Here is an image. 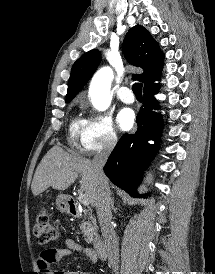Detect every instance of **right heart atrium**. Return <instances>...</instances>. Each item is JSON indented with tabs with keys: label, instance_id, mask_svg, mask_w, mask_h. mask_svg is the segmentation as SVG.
<instances>
[{
	"label": "right heart atrium",
	"instance_id": "obj_1",
	"mask_svg": "<svg viewBox=\"0 0 215 274\" xmlns=\"http://www.w3.org/2000/svg\"><path fill=\"white\" fill-rule=\"evenodd\" d=\"M118 142V136L110 116L92 112L84 120L77 150L82 154H93L112 150Z\"/></svg>",
	"mask_w": 215,
	"mask_h": 274
}]
</instances>
